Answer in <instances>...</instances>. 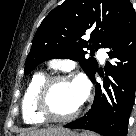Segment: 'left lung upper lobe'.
I'll return each mask as SVG.
<instances>
[{
  "label": "left lung upper lobe",
  "instance_id": "5c2ea615",
  "mask_svg": "<svg viewBox=\"0 0 136 136\" xmlns=\"http://www.w3.org/2000/svg\"><path fill=\"white\" fill-rule=\"evenodd\" d=\"M132 7L129 0H66L42 21L25 64V74L53 58L79 61L90 77L97 69L88 50L103 48ZM90 34L88 41L82 39Z\"/></svg>",
  "mask_w": 136,
  "mask_h": 136
}]
</instances>
